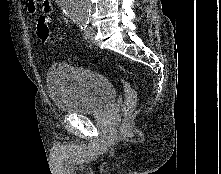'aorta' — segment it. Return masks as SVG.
Listing matches in <instances>:
<instances>
[{"mask_svg": "<svg viewBox=\"0 0 221 174\" xmlns=\"http://www.w3.org/2000/svg\"><path fill=\"white\" fill-rule=\"evenodd\" d=\"M63 13L75 21H87L90 15V0H59Z\"/></svg>", "mask_w": 221, "mask_h": 174, "instance_id": "obj_1", "label": "aorta"}]
</instances>
